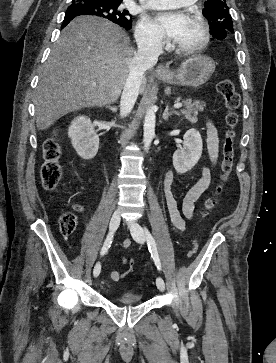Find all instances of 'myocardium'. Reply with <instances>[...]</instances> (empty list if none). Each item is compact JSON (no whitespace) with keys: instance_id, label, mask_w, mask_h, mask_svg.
Here are the masks:
<instances>
[{"instance_id":"1","label":"myocardium","mask_w":276,"mask_h":363,"mask_svg":"<svg viewBox=\"0 0 276 363\" xmlns=\"http://www.w3.org/2000/svg\"><path fill=\"white\" fill-rule=\"evenodd\" d=\"M189 17L192 18L201 28V39L198 43L190 46H180L174 44V49L183 55H193L201 52L210 40V30L206 19L198 12L191 11Z\"/></svg>"}]
</instances>
